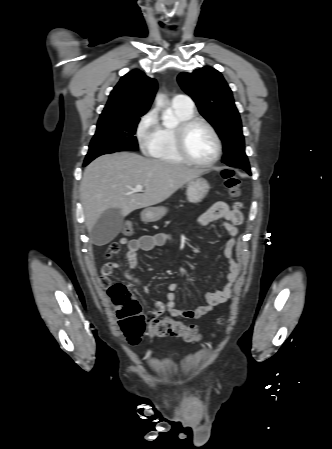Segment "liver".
I'll return each mask as SVG.
<instances>
[{"instance_id":"6515ba94","label":"liver","mask_w":332,"mask_h":449,"mask_svg":"<svg viewBox=\"0 0 332 449\" xmlns=\"http://www.w3.org/2000/svg\"><path fill=\"white\" fill-rule=\"evenodd\" d=\"M203 171L129 152L98 157L86 168L80 185L85 223L91 233L107 209H119L122 216L168 199ZM142 185V193L131 189Z\"/></svg>"}]
</instances>
